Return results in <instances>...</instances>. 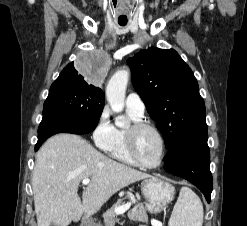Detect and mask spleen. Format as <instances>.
I'll use <instances>...</instances> for the list:
<instances>
[{
  "mask_svg": "<svg viewBox=\"0 0 247 226\" xmlns=\"http://www.w3.org/2000/svg\"><path fill=\"white\" fill-rule=\"evenodd\" d=\"M203 205L199 197L188 187H182L174 206L169 226H202Z\"/></svg>",
  "mask_w": 247,
  "mask_h": 226,
  "instance_id": "3e777b00",
  "label": "spleen"
}]
</instances>
